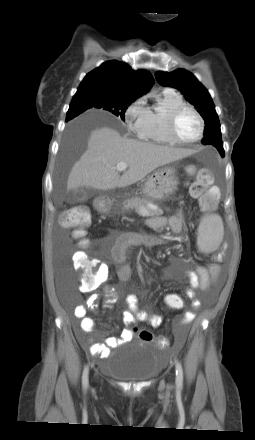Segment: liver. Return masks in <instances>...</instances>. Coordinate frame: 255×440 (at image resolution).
<instances>
[{
    "label": "liver",
    "instance_id": "6515ba94",
    "mask_svg": "<svg viewBox=\"0 0 255 440\" xmlns=\"http://www.w3.org/2000/svg\"><path fill=\"white\" fill-rule=\"evenodd\" d=\"M194 151L123 138L111 128L91 132L87 150L77 161L67 181L68 190L80 187L110 190L130 186L156 168L174 162ZM125 162L128 170L120 176L116 165Z\"/></svg>",
    "mask_w": 255,
    "mask_h": 440
}]
</instances>
